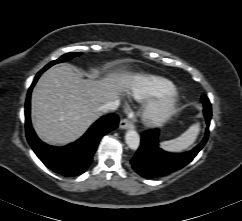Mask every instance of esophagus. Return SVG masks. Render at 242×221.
Segmentation results:
<instances>
[{
    "label": "esophagus",
    "instance_id": "obj_1",
    "mask_svg": "<svg viewBox=\"0 0 242 221\" xmlns=\"http://www.w3.org/2000/svg\"><path fill=\"white\" fill-rule=\"evenodd\" d=\"M121 129H131L133 128L132 123L128 119H122L119 123Z\"/></svg>",
    "mask_w": 242,
    "mask_h": 221
}]
</instances>
